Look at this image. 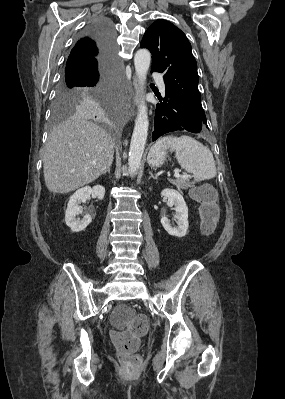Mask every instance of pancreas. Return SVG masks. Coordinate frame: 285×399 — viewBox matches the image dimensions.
<instances>
[{"label": "pancreas", "mask_w": 285, "mask_h": 399, "mask_svg": "<svg viewBox=\"0 0 285 399\" xmlns=\"http://www.w3.org/2000/svg\"><path fill=\"white\" fill-rule=\"evenodd\" d=\"M171 183L175 185L179 190L187 189L192 186V183H190L187 178H178L176 180L171 181Z\"/></svg>", "instance_id": "pancreas-1"}]
</instances>
